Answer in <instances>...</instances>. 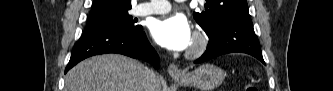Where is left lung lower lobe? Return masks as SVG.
<instances>
[{"mask_svg": "<svg viewBox=\"0 0 333 91\" xmlns=\"http://www.w3.org/2000/svg\"><path fill=\"white\" fill-rule=\"evenodd\" d=\"M208 37L207 50L195 63L223 54L241 52L250 54L265 64L250 16L226 20Z\"/></svg>", "mask_w": 333, "mask_h": 91, "instance_id": "left-lung-lower-lobe-1", "label": "left lung lower lobe"}]
</instances>
